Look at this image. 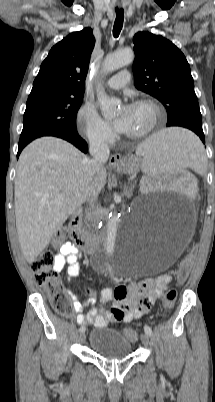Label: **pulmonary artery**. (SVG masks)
<instances>
[{
	"mask_svg": "<svg viewBox=\"0 0 215 402\" xmlns=\"http://www.w3.org/2000/svg\"><path fill=\"white\" fill-rule=\"evenodd\" d=\"M129 80H130V73L128 71H121L116 75L112 76L107 81L106 84L108 87L112 89H120L124 87L126 84H128Z\"/></svg>",
	"mask_w": 215,
	"mask_h": 402,
	"instance_id": "1",
	"label": "pulmonary artery"
}]
</instances>
